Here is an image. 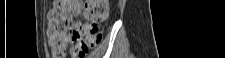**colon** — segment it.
I'll return each instance as SVG.
<instances>
[{
	"label": "colon",
	"mask_w": 225,
	"mask_h": 58,
	"mask_svg": "<svg viewBox=\"0 0 225 58\" xmlns=\"http://www.w3.org/2000/svg\"><path fill=\"white\" fill-rule=\"evenodd\" d=\"M81 14L88 23L74 26L73 17ZM109 14L107 0L57 1L49 15L48 37L53 56L63 58L69 43L76 57L87 55L100 44Z\"/></svg>",
	"instance_id": "1"
}]
</instances>
